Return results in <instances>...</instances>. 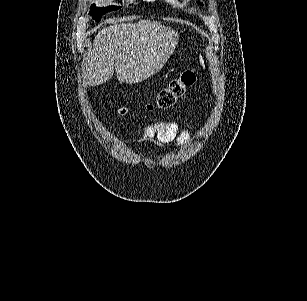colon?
<instances>
[{"mask_svg": "<svg viewBox=\"0 0 307 301\" xmlns=\"http://www.w3.org/2000/svg\"><path fill=\"white\" fill-rule=\"evenodd\" d=\"M196 81V72L194 69H186L179 76L170 80L156 96L153 103L148 105L149 109H168L182 97L185 91Z\"/></svg>", "mask_w": 307, "mask_h": 301, "instance_id": "1", "label": "colon"}]
</instances>
